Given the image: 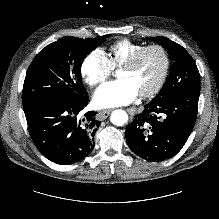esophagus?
I'll list each match as a JSON object with an SVG mask.
<instances>
[{"label": "esophagus", "mask_w": 219, "mask_h": 219, "mask_svg": "<svg viewBox=\"0 0 219 219\" xmlns=\"http://www.w3.org/2000/svg\"><path fill=\"white\" fill-rule=\"evenodd\" d=\"M110 113H111V109L100 110L97 118L99 120H105L109 116Z\"/></svg>", "instance_id": "34e87169"}]
</instances>
